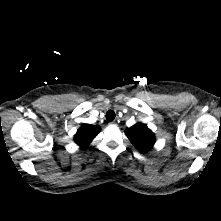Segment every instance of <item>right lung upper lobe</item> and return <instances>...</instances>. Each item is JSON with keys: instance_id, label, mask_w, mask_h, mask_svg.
Returning a JSON list of instances; mask_svg holds the SVG:
<instances>
[{"instance_id": "cb5924a9", "label": "right lung upper lobe", "mask_w": 221, "mask_h": 221, "mask_svg": "<svg viewBox=\"0 0 221 221\" xmlns=\"http://www.w3.org/2000/svg\"><path fill=\"white\" fill-rule=\"evenodd\" d=\"M99 132V126L84 124L75 134L74 140L76 144L80 146V148L86 149Z\"/></svg>"}]
</instances>
